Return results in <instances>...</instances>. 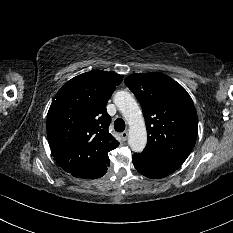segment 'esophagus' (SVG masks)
Here are the masks:
<instances>
[{"label":"esophagus","mask_w":233,"mask_h":233,"mask_svg":"<svg viewBox=\"0 0 233 233\" xmlns=\"http://www.w3.org/2000/svg\"><path fill=\"white\" fill-rule=\"evenodd\" d=\"M121 137H122L123 141H126L127 138H128V131L125 130L124 132H122V133H121Z\"/></svg>","instance_id":"esophagus-1"}]
</instances>
